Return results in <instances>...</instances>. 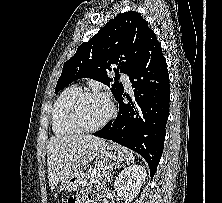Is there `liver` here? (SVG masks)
Wrapping results in <instances>:
<instances>
[{
	"label": "liver",
	"mask_w": 222,
	"mask_h": 203,
	"mask_svg": "<svg viewBox=\"0 0 222 203\" xmlns=\"http://www.w3.org/2000/svg\"><path fill=\"white\" fill-rule=\"evenodd\" d=\"M104 142L92 135L52 137L47 144L50 189L54 190L71 172L91 162L99 145Z\"/></svg>",
	"instance_id": "obj_1"
}]
</instances>
